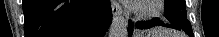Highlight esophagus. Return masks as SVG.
Masks as SVG:
<instances>
[{"label":"esophagus","mask_w":219,"mask_h":37,"mask_svg":"<svg viewBox=\"0 0 219 37\" xmlns=\"http://www.w3.org/2000/svg\"><path fill=\"white\" fill-rule=\"evenodd\" d=\"M112 15L116 17L122 12L121 6L116 1H111Z\"/></svg>","instance_id":"1"}]
</instances>
